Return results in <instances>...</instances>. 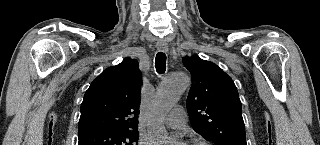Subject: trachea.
Returning a JSON list of instances; mask_svg holds the SVG:
<instances>
[{
    "label": "trachea",
    "instance_id": "1",
    "mask_svg": "<svg viewBox=\"0 0 320 145\" xmlns=\"http://www.w3.org/2000/svg\"><path fill=\"white\" fill-rule=\"evenodd\" d=\"M155 68L158 74H162L166 69V55L163 52H158L155 58Z\"/></svg>",
    "mask_w": 320,
    "mask_h": 145
}]
</instances>
